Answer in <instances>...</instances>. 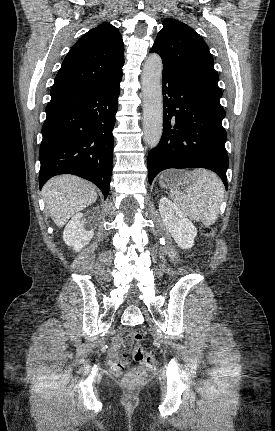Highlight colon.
Wrapping results in <instances>:
<instances>
[{
    "mask_svg": "<svg viewBox=\"0 0 275 431\" xmlns=\"http://www.w3.org/2000/svg\"><path fill=\"white\" fill-rule=\"evenodd\" d=\"M202 232L206 236H211L214 233L213 229L207 226L203 227ZM126 340L128 342H130L131 340L139 342L142 340V335L137 331H132L127 335ZM133 356L136 361L141 362L148 367L153 366L156 362L154 353L144 350L139 345L134 347ZM124 367L125 366L122 363H120L118 365L116 372L118 374H121ZM144 377H145L144 368L139 366L131 369L126 373V375L123 378V384L127 388H136L143 383Z\"/></svg>",
    "mask_w": 275,
    "mask_h": 431,
    "instance_id": "colon-1",
    "label": "colon"
}]
</instances>
